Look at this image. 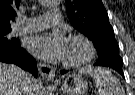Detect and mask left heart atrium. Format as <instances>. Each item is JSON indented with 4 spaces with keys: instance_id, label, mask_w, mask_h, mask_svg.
Listing matches in <instances>:
<instances>
[{
    "instance_id": "obj_1",
    "label": "left heart atrium",
    "mask_w": 135,
    "mask_h": 95,
    "mask_svg": "<svg viewBox=\"0 0 135 95\" xmlns=\"http://www.w3.org/2000/svg\"><path fill=\"white\" fill-rule=\"evenodd\" d=\"M26 47L41 59L60 61L65 59L68 41L60 32H47L30 37Z\"/></svg>"
}]
</instances>
